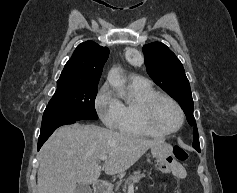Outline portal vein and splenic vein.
Wrapping results in <instances>:
<instances>
[{
    "label": "portal vein and splenic vein",
    "mask_w": 237,
    "mask_h": 193,
    "mask_svg": "<svg viewBox=\"0 0 237 193\" xmlns=\"http://www.w3.org/2000/svg\"><path fill=\"white\" fill-rule=\"evenodd\" d=\"M106 158H107V155H105V154L100 156V160H102V161L106 160Z\"/></svg>",
    "instance_id": "18ae733b"
}]
</instances>
